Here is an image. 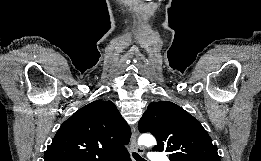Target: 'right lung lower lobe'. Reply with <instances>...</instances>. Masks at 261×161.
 Here are the masks:
<instances>
[{"instance_id":"obj_1","label":"right lung lower lobe","mask_w":261,"mask_h":161,"mask_svg":"<svg viewBox=\"0 0 261 161\" xmlns=\"http://www.w3.org/2000/svg\"><path fill=\"white\" fill-rule=\"evenodd\" d=\"M111 161H131L128 152L122 153L115 158H113Z\"/></svg>"}]
</instances>
